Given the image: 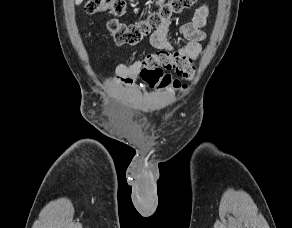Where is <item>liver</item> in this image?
I'll return each mask as SVG.
<instances>
[{"label":"liver","instance_id":"obj_1","mask_svg":"<svg viewBox=\"0 0 292 228\" xmlns=\"http://www.w3.org/2000/svg\"><path fill=\"white\" fill-rule=\"evenodd\" d=\"M83 0H75L76 5H79Z\"/></svg>","mask_w":292,"mask_h":228}]
</instances>
